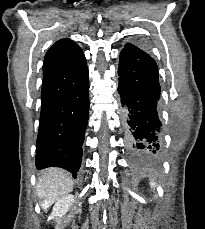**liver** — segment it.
I'll use <instances>...</instances> for the list:
<instances>
[{
    "label": "liver",
    "instance_id": "liver-1",
    "mask_svg": "<svg viewBox=\"0 0 205 229\" xmlns=\"http://www.w3.org/2000/svg\"><path fill=\"white\" fill-rule=\"evenodd\" d=\"M73 189V180L68 172L60 168H49L42 172L36 186V194L42 199L41 207L49 206L69 194Z\"/></svg>",
    "mask_w": 205,
    "mask_h": 229
}]
</instances>
